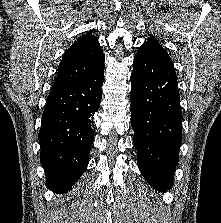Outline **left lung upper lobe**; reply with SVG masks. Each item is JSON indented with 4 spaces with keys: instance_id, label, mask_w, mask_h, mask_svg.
Returning <instances> with one entry per match:
<instances>
[{
    "instance_id": "left-lung-upper-lobe-1",
    "label": "left lung upper lobe",
    "mask_w": 221,
    "mask_h": 223,
    "mask_svg": "<svg viewBox=\"0 0 221 223\" xmlns=\"http://www.w3.org/2000/svg\"><path fill=\"white\" fill-rule=\"evenodd\" d=\"M142 46H159L162 48L161 45H159L154 38H150L148 41H146Z\"/></svg>"
}]
</instances>
